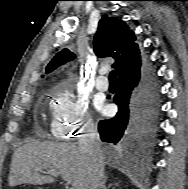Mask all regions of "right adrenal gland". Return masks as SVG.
Wrapping results in <instances>:
<instances>
[{"label":"right adrenal gland","mask_w":188,"mask_h":189,"mask_svg":"<svg viewBox=\"0 0 188 189\" xmlns=\"http://www.w3.org/2000/svg\"><path fill=\"white\" fill-rule=\"evenodd\" d=\"M106 181H107V177L105 176L104 179H103V183H102V187L101 189H108L112 186V184L106 186Z\"/></svg>","instance_id":"2a0ac1e0"}]
</instances>
